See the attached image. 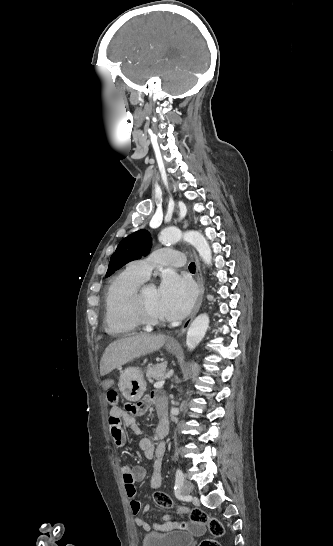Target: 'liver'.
<instances>
[{"instance_id":"1","label":"liver","mask_w":333,"mask_h":546,"mask_svg":"<svg viewBox=\"0 0 333 546\" xmlns=\"http://www.w3.org/2000/svg\"><path fill=\"white\" fill-rule=\"evenodd\" d=\"M164 335L139 334L119 339L106 349L100 362V375L105 376L115 368L142 355L159 350L165 343Z\"/></svg>"}]
</instances>
